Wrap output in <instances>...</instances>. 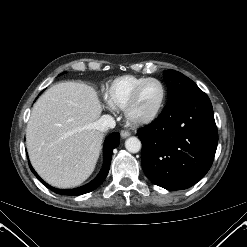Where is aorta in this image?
<instances>
[{
	"instance_id": "1",
	"label": "aorta",
	"mask_w": 247,
	"mask_h": 247,
	"mask_svg": "<svg viewBox=\"0 0 247 247\" xmlns=\"http://www.w3.org/2000/svg\"><path fill=\"white\" fill-rule=\"evenodd\" d=\"M126 149L131 153H137L141 149V141L137 137H130L125 141Z\"/></svg>"
}]
</instances>
